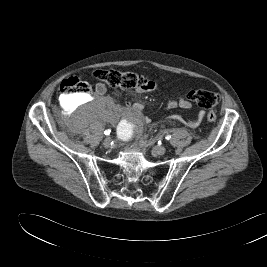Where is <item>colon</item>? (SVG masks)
I'll list each match as a JSON object with an SVG mask.
<instances>
[{
    "label": "colon",
    "mask_w": 267,
    "mask_h": 267,
    "mask_svg": "<svg viewBox=\"0 0 267 267\" xmlns=\"http://www.w3.org/2000/svg\"><path fill=\"white\" fill-rule=\"evenodd\" d=\"M94 77L112 87L123 89H143L152 86V81L142 75L133 72H123L115 69L96 70L93 73ZM90 91L89 85L76 78L64 80L59 87V93L65 97L84 96ZM188 100L196 103L198 106L207 109V120L214 123L216 114L211 110L219 103V96L207 90H192L187 94Z\"/></svg>",
    "instance_id": "5ec220e1"
}]
</instances>
